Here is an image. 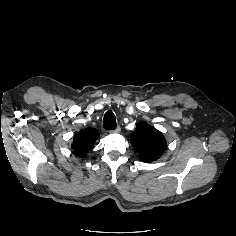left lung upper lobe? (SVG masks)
<instances>
[{
	"instance_id": "1",
	"label": "left lung upper lobe",
	"mask_w": 236,
	"mask_h": 236,
	"mask_svg": "<svg viewBox=\"0 0 236 236\" xmlns=\"http://www.w3.org/2000/svg\"><path fill=\"white\" fill-rule=\"evenodd\" d=\"M131 144L143 162L157 160L166 150L167 143L162 133L146 122H139L131 134Z\"/></svg>"
}]
</instances>
